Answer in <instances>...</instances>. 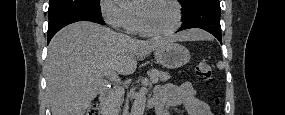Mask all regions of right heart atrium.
<instances>
[{
    "instance_id": "obj_1",
    "label": "right heart atrium",
    "mask_w": 285,
    "mask_h": 115,
    "mask_svg": "<svg viewBox=\"0 0 285 115\" xmlns=\"http://www.w3.org/2000/svg\"><path fill=\"white\" fill-rule=\"evenodd\" d=\"M101 13L105 21L112 27L133 31L136 19L134 15L116 0L101 1Z\"/></svg>"
}]
</instances>
